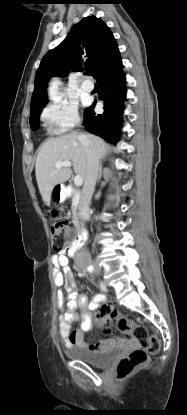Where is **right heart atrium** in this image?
I'll return each instance as SVG.
<instances>
[{
  "label": "right heart atrium",
  "mask_w": 187,
  "mask_h": 415,
  "mask_svg": "<svg viewBox=\"0 0 187 415\" xmlns=\"http://www.w3.org/2000/svg\"><path fill=\"white\" fill-rule=\"evenodd\" d=\"M40 117L49 131L55 134L69 132L80 122L77 106L66 100L47 105Z\"/></svg>",
  "instance_id": "obj_1"
}]
</instances>
